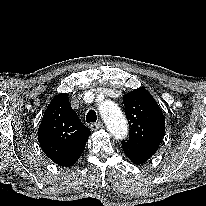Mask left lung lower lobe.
<instances>
[{
    "label": "left lung lower lobe",
    "mask_w": 206,
    "mask_h": 206,
    "mask_svg": "<svg viewBox=\"0 0 206 206\" xmlns=\"http://www.w3.org/2000/svg\"><path fill=\"white\" fill-rule=\"evenodd\" d=\"M124 152L127 157L135 164L145 163L149 158L153 156V154L138 151L125 150Z\"/></svg>",
    "instance_id": "1"
}]
</instances>
